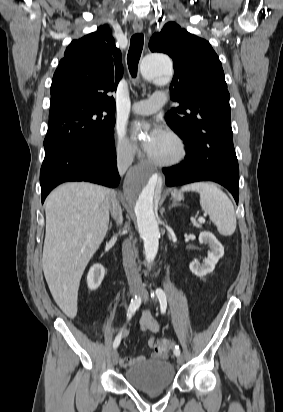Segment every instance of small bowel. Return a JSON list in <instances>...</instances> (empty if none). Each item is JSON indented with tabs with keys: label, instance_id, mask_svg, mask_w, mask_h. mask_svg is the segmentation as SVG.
Listing matches in <instances>:
<instances>
[{
	"label": "small bowel",
	"instance_id": "1",
	"mask_svg": "<svg viewBox=\"0 0 283 412\" xmlns=\"http://www.w3.org/2000/svg\"><path fill=\"white\" fill-rule=\"evenodd\" d=\"M140 326L142 328L143 331H147V332H152V333H156L159 330V324L157 323V321L153 318V316L151 315V313L149 311H144L140 317ZM115 334L118 333L121 334V336H125L127 334L126 330L124 329H120V330H114L113 331ZM117 335V336H118ZM148 345L150 348H153L155 346V338L154 337H150L149 341H148ZM154 357H157V354L153 355ZM145 356L143 355H139L137 357H125V358H121L120 359V366L122 367H129L132 366L135 363H141L145 360Z\"/></svg>",
	"mask_w": 283,
	"mask_h": 412
}]
</instances>
